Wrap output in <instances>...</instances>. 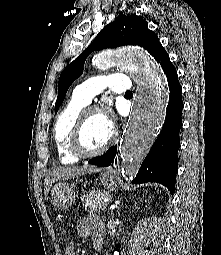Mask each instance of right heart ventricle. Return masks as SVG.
Masks as SVG:
<instances>
[{
  "instance_id": "1",
  "label": "right heart ventricle",
  "mask_w": 221,
  "mask_h": 255,
  "mask_svg": "<svg viewBox=\"0 0 221 255\" xmlns=\"http://www.w3.org/2000/svg\"><path fill=\"white\" fill-rule=\"evenodd\" d=\"M84 105L71 101L57 116L53 127V140L62 164L72 165L79 161L70 147L71 133Z\"/></svg>"
}]
</instances>
